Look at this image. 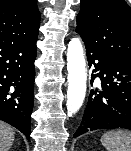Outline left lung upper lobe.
<instances>
[{
    "label": "left lung upper lobe",
    "mask_w": 131,
    "mask_h": 151,
    "mask_svg": "<svg viewBox=\"0 0 131 151\" xmlns=\"http://www.w3.org/2000/svg\"><path fill=\"white\" fill-rule=\"evenodd\" d=\"M76 32L86 45L131 64V8L124 0H81Z\"/></svg>",
    "instance_id": "left-lung-upper-lobe-1"
}]
</instances>
